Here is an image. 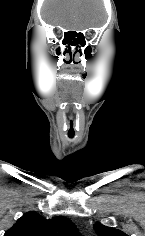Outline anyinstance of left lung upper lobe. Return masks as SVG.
Instances as JSON below:
<instances>
[{
    "label": "left lung upper lobe",
    "mask_w": 145,
    "mask_h": 236,
    "mask_svg": "<svg viewBox=\"0 0 145 236\" xmlns=\"http://www.w3.org/2000/svg\"><path fill=\"white\" fill-rule=\"evenodd\" d=\"M94 229L98 236H128L120 230L104 226L100 223H96Z\"/></svg>",
    "instance_id": "1"
}]
</instances>
